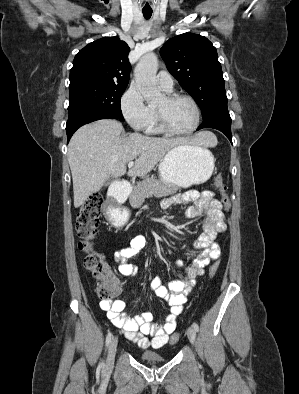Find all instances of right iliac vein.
I'll list each match as a JSON object with an SVG mask.
<instances>
[{
	"label": "right iliac vein",
	"mask_w": 299,
	"mask_h": 394,
	"mask_svg": "<svg viewBox=\"0 0 299 394\" xmlns=\"http://www.w3.org/2000/svg\"><path fill=\"white\" fill-rule=\"evenodd\" d=\"M117 344H118V338L115 336L112 338L110 345H109L108 356H107V361H106V369L107 370H109L113 367L115 354H116V350H117Z\"/></svg>",
	"instance_id": "obj_1"
}]
</instances>
